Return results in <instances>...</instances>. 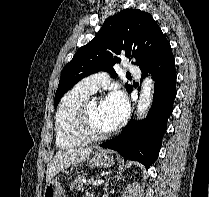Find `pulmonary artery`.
Segmentation results:
<instances>
[{
  "label": "pulmonary artery",
  "mask_w": 209,
  "mask_h": 197,
  "mask_svg": "<svg viewBox=\"0 0 209 197\" xmlns=\"http://www.w3.org/2000/svg\"><path fill=\"white\" fill-rule=\"evenodd\" d=\"M128 72L136 77H140L141 71L139 67L135 65H128ZM109 82V77L105 72H99L91 74L84 78L79 85L87 89L91 93L96 92L99 88L106 85Z\"/></svg>",
  "instance_id": "obj_1"
}]
</instances>
